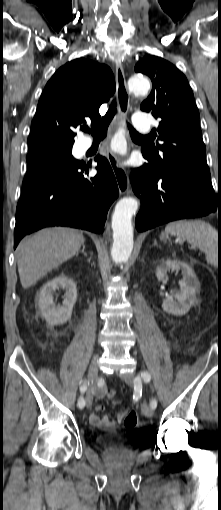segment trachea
<instances>
[{
  "label": "trachea",
  "instance_id": "3493384b",
  "mask_svg": "<svg viewBox=\"0 0 221 510\" xmlns=\"http://www.w3.org/2000/svg\"><path fill=\"white\" fill-rule=\"evenodd\" d=\"M116 101L113 100L109 106V110L105 114V116L101 119V121L98 123V125L92 129L89 128H83L85 132H89L92 134L93 138L95 140H101L106 137L107 130L110 122L112 121L113 117L117 113L116 109ZM129 132L131 136H137V137H144L141 134H139L131 125L128 124Z\"/></svg>",
  "mask_w": 221,
  "mask_h": 510
}]
</instances>
